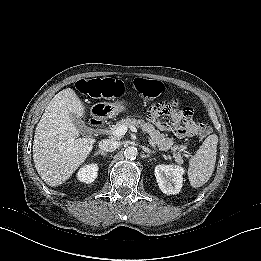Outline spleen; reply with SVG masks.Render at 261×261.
Here are the masks:
<instances>
[{"label": "spleen", "mask_w": 261, "mask_h": 261, "mask_svg": "<svg viewBox=\"0 0 261 261\" xmlns=\"http://www.w3.org/2000/svg\"><path fill=\"white\" fill-rule=\"evenodd\" d=\"M216 162L215 149L206 139L189 160L188 179L194 188L201 186L211 176Z\"/></svg>", "instance_id": "3e777b00"}]
</instances>
